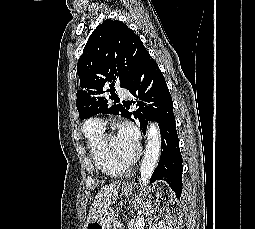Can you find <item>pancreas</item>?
<instances>
[{
    "instance_id": "pancreas-1",
    "label": "pancreas",
    "mask_w": 255,
    "mask_h": 229,
    "mask_svg": "<svg viewBox=\"0 0 255 229\" xmlns=\"http://www.w3.org/2000/svg\"><path fill=\"white\" fill-rule=\"evenodd\" d=\"M117 225H118V222L117 221H114L113 222V225H112V227H111V229H119L118 227H117ZM122 229V228H121Z\"/></svg>"
}]
</instances>
